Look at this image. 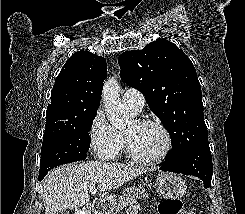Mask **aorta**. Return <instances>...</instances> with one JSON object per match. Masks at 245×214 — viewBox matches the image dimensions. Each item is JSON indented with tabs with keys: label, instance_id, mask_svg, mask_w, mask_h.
I'll return each mask as SVG.
<instances>
[{
	"label": "aorta",
	"instance_id": "762f6f07",
	"mask_svg": "<svg viewBox=\"0 0 245 214\" xmlns=\"http://www.w3.org/2000/svg\"><path fill=\"white\" fill-rule=\"evenodd\" d=\"M120 85L116 77H110L103 85L102 100L105 113L110 123L117 128L124 127L129 122L120 97Z\"/></svg>",
	"mask_w": 245,
	"mask_h": 214
}]
</instances>
